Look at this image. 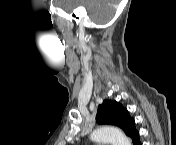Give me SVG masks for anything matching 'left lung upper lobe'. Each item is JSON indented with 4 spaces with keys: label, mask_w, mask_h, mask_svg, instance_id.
Listing matches in <instances>:
<instances>
[{
    "label": "left lung upper lobe",
    "mask_w": 176,
    "mask_h": 145,
    "mask_svg": "<svg viewBox=\"0 0 176 145\" xmlns=\"http://www.w3.org/2000/svg\"><path fill=\"white\" fill-rule=\"evenodd\" d=\"M96 122L118 126L132 140L139 134L135 128V121L130 117L127 109L116 101L105 100L98 106Z\"/></svg>",
    "instance_id": "1"
}]
</instances>
